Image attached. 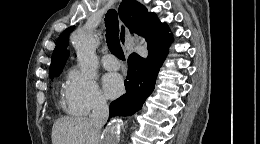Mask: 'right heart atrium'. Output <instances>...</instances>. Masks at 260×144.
Masks as SVG:
<instances>
[{
  "label": "right heart atrium",
  "mask_w": 260,
  "mask_h": 144,
  "mask_svg": "<svg viewBox=\"0 0 260 144\" xmlns=\"http://www.w3.org/2000/svg\"><path fill=\"white\" fill-rule=\"evenodd\" d=\"M65 97L72 113L80 115H87L91 111L107 106V100L96 80L84 75L76 68L69 73Z\"/></svg>",
  "instance_id": "right-heart-atrium-1"
}]
</instances>
